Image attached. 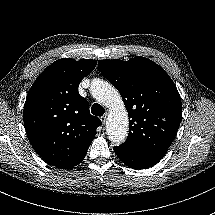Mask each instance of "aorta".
<instances>
[{
	"label": "aorta",
	"instance_id": "1",
	"mask_svg": "<svg viewBox=\"0 0 215 215\" xmlns=\"http://www.w3.org/2000/svg\"><path fill=\"white\" fill-rule=\"evenodd\" d=\"M93 96L108 107L111 118L108 122V137L115 143H122L129 130V116L118 90L110 83L100 81L92 88Z\"/></svg>",
	"mask_w": 215,
	"mask_h": 215
}]
</instances>
